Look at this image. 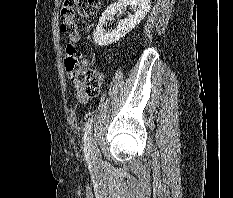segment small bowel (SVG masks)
I'll return each instance as SVG.
<instances>
[{"instance_id": "1", "label": "small bowel", "mask_w": 233, "mask_h": 198, "mask_svg": "<svg viewBox=\"0 0 233 198\" xmlns=\"http://www.w3.org/2000/svg\"><path fill=\"white\" fill-rule=\"evenodd\" d=\"M77 98L81 103H86L90 99V95H87L81 91H78Z\"/></svg>"}]
</instances>
